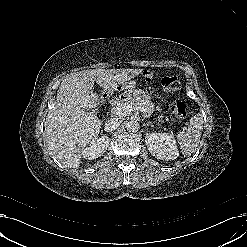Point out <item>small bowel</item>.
<instances>
[{
  "mask_svg": "<svg viewBox=\"0 0 247 247\" xmlns=\"http://www.w3.org/2000/svg\"><path fill=\"white\" fill-rule=\"evenodd\" d=\"M153 76H154L153 69H148L143 72V78L147 81L152 80Z\"/></svg>",
  "mask_w": 247,
  "mask_h": 247,
  "instance_id": "c3829d8e",
  "label": "small bowel"
}]
</instances>
